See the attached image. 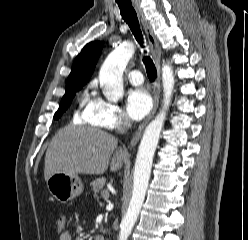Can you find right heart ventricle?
I'll use <instances>...</instances> for the list:
<instances>
[{
    "label": "right heart ventricle",
    "mask_w": 248,
    "mask_h": 240,
    "mask_svg": "<svg viewBox=\"0 0 248 240\" xmlns=\"http://www.w3.org/2000/svg\"><path fill=\"white\" fill-rule=\"evenodd\" d=\"M91 101L92 100L89 99L88 95L85 94L82 100V103L85 105V107L78 118L80 123H88L87 118H86V112H87V109L89 108Z\"/></svg>",
    "instance_id": "1"
}]
</instances>
